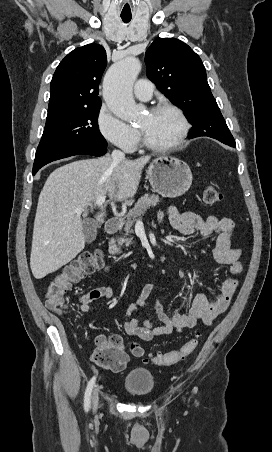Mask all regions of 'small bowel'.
Returning a JSON list of instances; mask_svg holds the SVG:
<instances>
[{"label": "small bowel", "instance_id": "1", "mask_svg": "<svg viewBox=\"0 0 272 452\" xmlns=\"http://www.w3.org/2000/svg\"><path fill=\"white\" fill-rule=\"evenodd\" d=\"M158 217L160 221L168 220L170 225L184 236H192L196 233L205 238L216 236L213 256L218 264L229 266V276L222 283L220 291L215 297L208 298L204 294H197L187 312H165L155 292L156 284L154 282L147 283L136 301L126 309V320L123 323V329L128 335L143 341L180 332L185 328H193L198 320L206 325L212 324L213 320L228 308L239 285V277L244 270L241 249L232 247L235 223L231 218L203 216L191 210L179 212L174 207L162 209ZM113 294L112 288L108 286L94 288L79 297V309L83 313L89 312L94 303L110 299ZM148 306L152 307L157 323L149 319L140 320L135 316L140 309ZM113 337L121 342L120 336L113 335ZM102 338H106V336H98L96 342Z\"/></svg>", "mask_w": 272, "mask_h": 452}]
</instances>
